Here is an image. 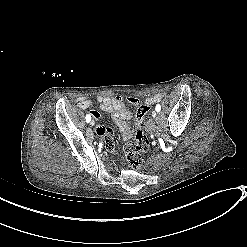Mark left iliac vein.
Returning <instances> with one entry per match:
<instances>
[{
    "mask_svg": "<svg viewBox=\"0 0 247 247\" xmlns=\"http://www.w3.org/2000/svg\"><path fill=\"white\" fill-rule=\"evenodd\" d=\"M157 116V113L155 111H152V117L155 118Z\"/></svg>",
    "mask_w": 247,
    "mask_h": 247,
    "instance_id": "left-iliac-vein-1",
    "label": "left iliac vein"
}]
</instances>
